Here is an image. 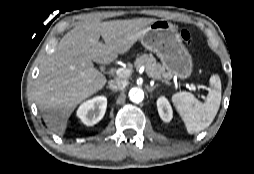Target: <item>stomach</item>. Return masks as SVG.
Instances as JSON below:
<instances>
[{
    "mask_svg": "<svg viewBox=\"0 0 254 174\" xmlns=\"http://www.w3.org/2000/svg\"><path fill=\"white\" fill-rule=\"evenodd\" d=\"M142 45L154 52L165 70L179 79H187L193 72V60L183 45L178 29L171 22L160 19L148 26L141 37Z\"/></svg>",
    "mask_w": 254,
    "mask_h": 174,
    "instance_id": "stomach-1",
    "label": "stomach"
}]
</instances>
